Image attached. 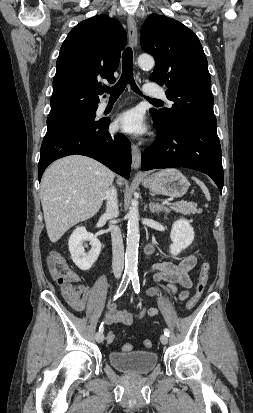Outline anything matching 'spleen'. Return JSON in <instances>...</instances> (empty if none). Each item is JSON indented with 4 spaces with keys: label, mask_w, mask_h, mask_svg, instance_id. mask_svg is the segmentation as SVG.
I'll use <instances>...</instances> for the list:
<instances>
[{
    "label": "spleen",
    "mask_w": 253,
    "mask_h": 413,
    "mask_svg": "<svg viewBox=\"0 0 253 413\" xmlns=\"http://www.w3.org/2000/svg\"><path fill=\"white\" fill-rule=\"evenodd\" d=\"M192 179L200 186V188L202 189L203 193L205 194L206 199H207V200H210V199H211L210 193H209L208 188L205 186V184H204L201 180H199L198 178H196V177H192Z\"/></svg>",
    "instance_id": "obj_1"
}]
</instances>
